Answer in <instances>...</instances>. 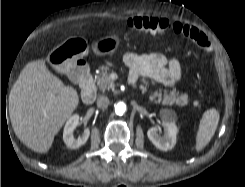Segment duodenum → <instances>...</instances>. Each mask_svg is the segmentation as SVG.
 Listing matches in <instances>:
<instances>
[{"label": "duodenum", "mask_w": 245, "mask_h": 187, "mask_svg": "<svg viewBox=\"0 0 245 187\" xmlns=\"http://www.w3.org/2000/svg\"><path fill=\"white\" fill-rule=\"evenodd\" d=\"M72 75L82 84L81 98L85 103H91L97 96V89L85 63H78L72 69Z\"/></svg>", "instance_id": "obj_1"}]
</instances>
